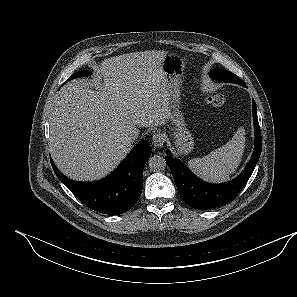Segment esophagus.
<instances>
[{"label": "esophagus", "mask_w": 297, "mask_h": 297, "mask_svg": "<svg viewBox=\"0 0 297 297\" xmlns=\"http://www.w3.org/2000/svg\"><path fill=\"white\" fill-rule=\"evenodd\" d=\"M152 142L156 148H160L165 142V137L162 133L157 132L153 135Z\"/></svg>", "instance_id": "1"}]
</instances>
